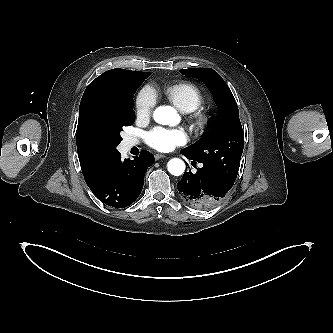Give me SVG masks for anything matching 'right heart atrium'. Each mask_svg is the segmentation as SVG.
<instances>
[{
  "instance_id": "d8ad5b80",
  "label": "right heart atrium",
  "mask_w": 333,
  "mask_h": 333,
  "mask_svg": "<svg viewBox=\"0 0 333 333\" xmlns=\"http://www.w3.org/2000/svg\"><path fill=\"white\" fill-rule=\"evenodd\" d=\"M156 104V96L150 88L142 89L136 98V114L138 117H148Z\"/></svg>"
}]
</instances>
